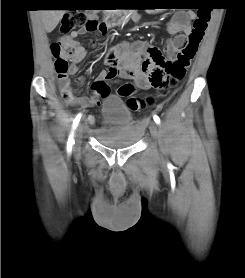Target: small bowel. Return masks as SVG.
Returning a JSON list of instances; mask_svg holds the SVG:
<instances>
[{
  "instance_id": "obj_1",
  "label": "small bowel",
  "mask_w": 245,
  "mask_h": 278,
  "mask_svg": "<svg viewBox=\"0 0 245 278\" xmlns=\"http://www.w3.org/2000/svg\"><path fill=\"white\" fill-rule=\"evenodd\" d=\"M193 17V13L179 12L168 21L166 27L167 32L175 35L166 41V52L170 59H174L180 55L184 46L187 44L188 37L192 32L189 20ZM135 19L138 20L139 16L135 15ZM107 29V26L101 22L96 31L104 35ZM84 33L85 30H81L64 35L60 39L63 43L81 49V55L71 61L67 69L66 77L64 79L59 78V88L63 93H72L73 89L69 75H74L79 71L78 64L85 58V50L76 40L78 35ZM98 45L99 41L94 39L92 46L96 47ZM143 55L147 57L144 62H142ZM158 57H163L161 51L151 42H137L133 45L122 43L112 47L105 56V62L109 66V69L107 71H101L98 74L92 88L90 102L93 105H97L100 102L101 98L108 93V81L113 78L132 79L138 88L144 90L152 87L159 88L158 85L149 79V74L153 71Z\"/></svg>"
}]
</instances>
